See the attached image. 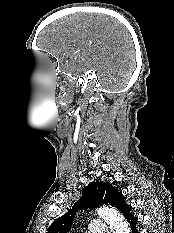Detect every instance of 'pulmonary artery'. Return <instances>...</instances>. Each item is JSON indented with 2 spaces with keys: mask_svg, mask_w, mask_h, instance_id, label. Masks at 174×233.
<instances>
[{
  "mask_svg": "<svg viewBox=\"0 0 174 233\" xmlns=\"http://www.w3.org/2000/svg\"><path fill=\"white\" fill-rule=\"evenodd\" d=\"M88 233H106L108 231V225L103 220H93L89 223Z\"/></svg>",
  "mask_w": 174,
  "mask_h": 233,
  "instance_id": "e3ab8cb5",
  "label": "pulmonary artery"
}]
</instances>
